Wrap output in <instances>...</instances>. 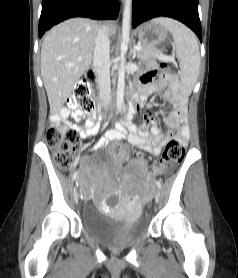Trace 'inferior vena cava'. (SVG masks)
<instances>
[{
    "label": "inferior vena cava",
    "mask_w": 238,
    "mask_h": 278,
    "mask_svg": "<svg viewBox=\"0 0 238 278\" xmlns=\"http://www.w3.org/2000/svg\"><path fill=\"white\" fill-rule=\"evenodd\" d=\"M93 66L97 73L99 98L104 108H107L111 101L110 81V39L106 26L98 29L93 54Z\"/></svg>",
    "instance_id": "1"
}]
</instances>
